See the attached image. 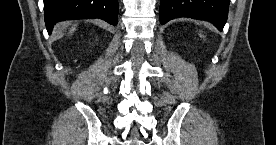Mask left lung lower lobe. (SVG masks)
<instances>
[{
	"mask_svg": "<svg viewBox=\"0 0 276 145\" xmlns=\"http://www.w3.org/2000/svg\"><path fill=\"white\" fill-rule=\"evenodd\" d=\"M230 0H161L160 22L178 17L203 19L213 23L220 31L227 20Z\"/></svg>",
	"mask_w": 276,
	"mask_h": 145,
	"instance_id": "1",
	"label": "left lung lower lobe"
}]
</instances>
